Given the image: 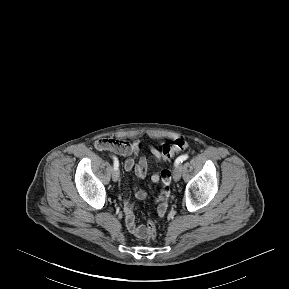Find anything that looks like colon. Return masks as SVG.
Masks as SVG:
<instances>
[{
    "label": "colon",
    "mask_w": 289,
    "mask_h": 289,
    "mask_svg": "<svg viewBox=\"0 0 289 289\" xmlns=\"http://www.w3.org/2000/svg\"><path fill=\"white\" fill-rule=\"evenodd\" d=\"M188 147V143L184 139H176L171 144H165L161 148V155L163 159L169 160L171 159L176 153L185 150ZM159 206V205H158ZM146 234L148 240H153L156 238L157 232L155 224L152 220L147 222L146 226Z\"/></svg>",
    "instance_id": "1"
}]
</instances>
